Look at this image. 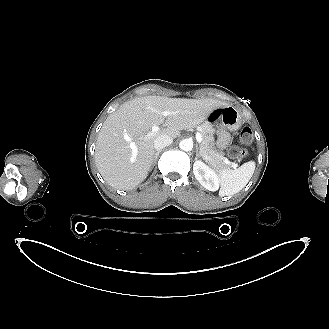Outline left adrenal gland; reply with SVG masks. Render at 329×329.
I'll return each instance as SVG.
<instances>
[{
    "label": "left adrenal gland",
    "instance_id": "1",
    "mask_svg": "<svg viewBox=\"0 0 329 329\" xmlns=\"http://www.w3.org/2000/svg\"><path fill=\"white\" fill-rule=\"evenodd\" d=\"M199 157H201V155H200L198 149H196V156H195V159H197V158H199Z\"/></svg>",
    "mask_w": 329,
    "mask_h": 329
}]
</instances>
